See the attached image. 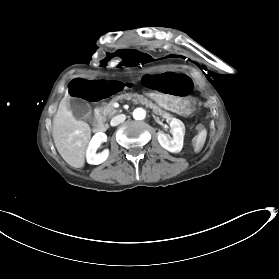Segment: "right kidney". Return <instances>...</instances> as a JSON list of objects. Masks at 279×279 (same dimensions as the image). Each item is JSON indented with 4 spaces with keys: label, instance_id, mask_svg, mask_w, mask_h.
Instances as JSON below:
<instances>
[{
    "label": "right kidney",
    "instance_id": "ca27d5eb",
    "mask_svg": "<svg viewBox=\"0 0 279 279\" xmlns=\"http://www.w3.org/2000/svg\"><path fill=\"white\" fill-rule=\"evenodd\" d=\"M106 140L107 136L103 132H98L93 136L86 152V158L89 164L97 165L107 159L109 155L108 149L103 150L101 153H96L97 149L100 147V144Z\"/></svg>",
    "mask_w": 279,
    "mask_h": 279
}]
</instances>
